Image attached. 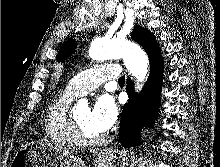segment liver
<instances>
[{
	"label": "liver",
	"instance_id": "liver-1",
	"mask_svg": "<svg viewBox=\"0 0 220 167\" xmlns=\"http://www.w3.org/2000/svg\"><path fill=\"white\" fill-rule=\"evenodd\" d=\"M36 143L53 148L57 153L61 154L62 156L71 155L75 152V149L54 145L52 141H49L47 139L36 141Z\"/></svg>",
	"mask_w": 220,
	"mask_h": 167
}]
</instances>
